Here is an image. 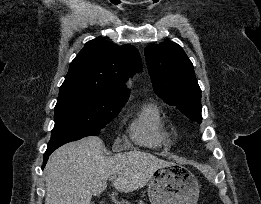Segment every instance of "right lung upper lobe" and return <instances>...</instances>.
Segmentation results:
<instances>
[{"label":"right lung upper lobe","instance_id":"cb5924a9","mask_svg":"<svg viewBox=\"0 0 261 204\" xmlns=\"http://www.w3.org/2000/svg\"><path fill=\"white\" fill-rule=\"evenodd\" d=\"M142 64L138 50L129 44L118 46L104 39L87 42L71 62L59 95L89 92L111 102L127 101L125 83Z\"/></svg>","mask_w":261,"mask_h":204}]
</instances>
